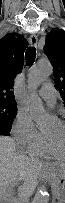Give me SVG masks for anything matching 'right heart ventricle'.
Segmentation results:
<instances>
[{
	"instance_id": "obj_1",
	"label": "right heart ventricle",
	"mask_w": 65,
	"mask_h": 203,
	"mask_svg": "<svg viewBox=\"0 0 65 203\" xmlns=\"http://www.w3.org/2000/svg\"><path fill=\"white\" fill-rule=\"evenodd\" d=\"M28 154L31 157L36 158H57L51 154L45 138L36 148L31 150Z\"/></svg>"
}]
</instances>
